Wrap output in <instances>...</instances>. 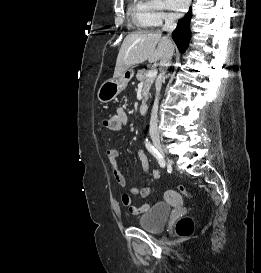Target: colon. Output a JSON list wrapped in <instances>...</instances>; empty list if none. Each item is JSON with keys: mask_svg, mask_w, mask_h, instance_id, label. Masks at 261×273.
<instances>
[{"mask_svg": "<svg viewBox=\"0 0 261 273\" xmlns=\"http://www.w3.org/2000/svg\"><path fill=\"white\" fill-rule=\"evenodd\" d=\"M104 125L107 129L112 131H118L121 129V122L120 118L116 115L109 116L105 119ZM179 193L184 197H190V193L184 186L178 187ZM169 197H172L173 199H176L175 196H173L171 193L168 194ZM193 221L190 218H183L179 220L176 224L175 230L177 236L181 238L189 237L193 233Z\"/></svg>", "mask_w": 261, "mask_h": 273, "instance_id": "obj_1", "label": "colon"}]
</instances>
